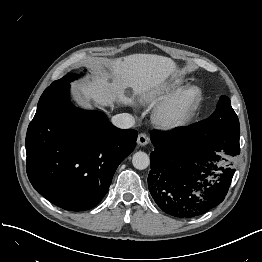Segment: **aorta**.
I'll use <instances>...</instances> for the list:
<instances>
[{
    "label": "aorta",
    "mask_w": 262,
    "mask_h": 262,
    "mask_svg": "<svg viewBox=\"0 0 262 262\" xmlns=\"http://www.w3.org/2000/svg\"><path fill=\"white\" fill-rule=\"evenodd\" d=\"M149 163L150 158L145 152H136L132 157V164L136 169H146L149 166Z\"/></svg>",
    "instance_id": "762f6f07"
}]
</instances>
